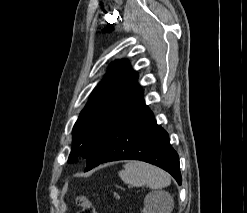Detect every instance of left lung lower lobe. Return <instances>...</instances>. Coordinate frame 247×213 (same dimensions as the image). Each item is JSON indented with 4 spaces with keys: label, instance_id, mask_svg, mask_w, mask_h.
<instances>
[{
    "label": "left lung lower lobe",
    "instance_id": "1",
    "mask_svg": "<svg viewBox=\"0 0 247 213\" xmlns=\"http://www.w3.org/2000/svg\"><path fill=\"white\" fill-rule=\"evenodd\" d=\"M87 159L86 171L115 160H142L169 172L180 185L179 157L169 142L168 133L157 125L145 105L143 92L136 101L104 132Z\"/></svg>",
    "mask_w": 247,
    "mask_h": 213
}]
</instances>
